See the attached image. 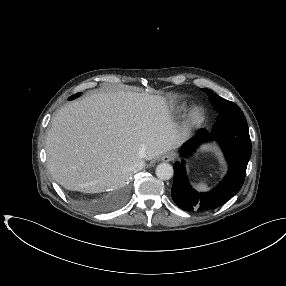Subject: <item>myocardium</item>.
<instances>
[{
    "instance_id": "obj_1",
    "label": "myocardium",
    "mask_w": 286,
    "mask_h": 286,
    "mask_svg": "<svg viewBox=\"0 0 286 286\" xmlns=\"http://www.w3.org/2000/svg\"><path fill=\"white\" fill-rule=\"evenodd\" d=\"M205 121V111L201 106H193L187 113V124L191 127H199Z\"/></svg>"
}]
</instances>
